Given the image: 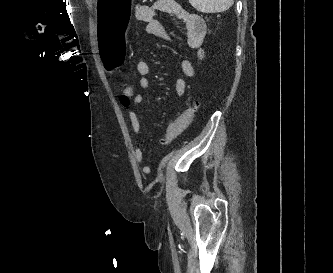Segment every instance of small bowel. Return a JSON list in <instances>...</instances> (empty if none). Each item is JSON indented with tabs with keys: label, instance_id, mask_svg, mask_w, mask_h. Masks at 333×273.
<instances>
[{
	"label": "small bowel",
	"instance_id": "c3829d8e",
	"mask_svg": "<svg viewBox=\"0 0 333 273\" xmlns=\"http://www.w3.org/2000/svg\"><path fill=\"white\" fill-rule=\"evenodd\" d=\"M161 14H168L172 16L177 22L181 23L185 28V38L188 47L197 51V59L200 62L205 60V53L202 48L206 26L203 19L184 8L182 5L174 0H157L152 5H139L136 10V17L139 21L145 24L144 31L146 34L156 36L166 42H173L174 39L171 34L166 30L163 24L158 20ZM182 72L189 78H194L197 71L192 63L188 60L178 58L175 60ZM136 71L140 76L139 85L145 91H151L153 84L149 79L150 65L144 61L139 60L136 63ZM175 93L179 97H183L186 92L185 80L181 77L176 78L174 82ZM132 105H128V117L135 137L141 133V123L138 114L133 109V106L141 104L143 97L140 94L132 95ZM133 155L138 163L143 161V151L137 144L134 148ZM143 171L147 173L149 167L144 165Z\"/></svg>",
	"mask_w": 333,
	"mask_h": 273
}]
</instances>
